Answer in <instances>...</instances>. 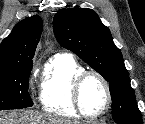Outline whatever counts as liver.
Segmentation results:
<instances>
[{
  "mask_svg": "<svg viewBox=\"0 0 145 124\" xmlns=\"http://www.w3.org/2000/svg\"><path fill=\"white\" fill-rule=\"evenodd\" d=\"M0 124H80L71 122L67 119L56 117L53 115L40 114L32 111H24L22 113L0 112Z\"/></svg>",
  "mask_w": 145,
  "mask_h": 124,
  "instance_id": "obj_1",
  "label": "liver"
}]
</instances>
